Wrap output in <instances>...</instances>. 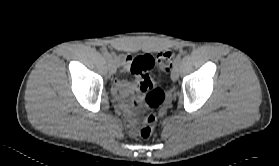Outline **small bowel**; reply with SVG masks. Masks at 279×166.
<instances>
[{
    "label": "small bowel",
    "instance_id": "1",
    "mask_svg": "<svg viewBox=\"0 0 279 166\" xmlns=\"http://www.w3.org/2000/svg\"><path fill=\"white\" fill-rule=\"evenodd\" d=\"M115 62L117 66L121 70H130L131 63L133 61V58L130 55L125 54H115L114 55ZM138 88L136 84L127 81L121 77H117L112 85V93L113 95L119 99L123 100L128 95L135 94L137 92ZM140 103L133 102L134 112L138 113L140 112ZM134 133V131H133Z\"/></svg>",
    "mask_w": 279,
    "mask_h": 166
}]
</instances>
